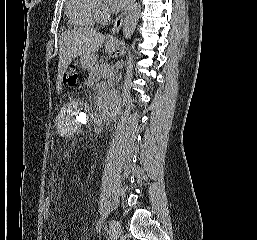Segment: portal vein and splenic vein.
<instances>
[{
    "label": "portal vein and splenic vein",
    "instance_id": "18ae733b",
    "mask_svg": "<svg viewBox=\"0 0 257 240\" xmlns=\"http://www.w3.org/2000/svg\"><path fill=\"white\" fill-rule=\"evenodd\" d=\"M108 74H111V70L109 69Z\"/></svg>",
    "mask_w": 257,
    "mask_h": 240
}]
</instances>
